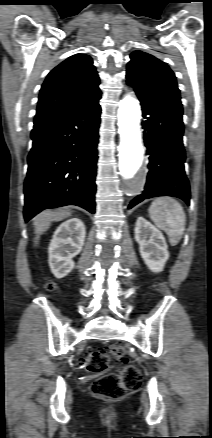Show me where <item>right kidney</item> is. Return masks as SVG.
Instances as JSON below:
<instances>
[{"label": "right kidney", "instance_id": "ca27d5eb", "mask_svg": "<svg viewBox=\"0 0 212 438\" xmlns=\"http://www.w3.org/2000/svg\"><path fill=\"white\" fill-rule=\"evenodd\" d=\"M85 235V225L78 218L63 222L54 232L48 253L49 266L56 278L65 277L74 268L73 258L81 252Z\"/></svg>", "mask_w": 212, "mask_h": 438}]
</instances>
